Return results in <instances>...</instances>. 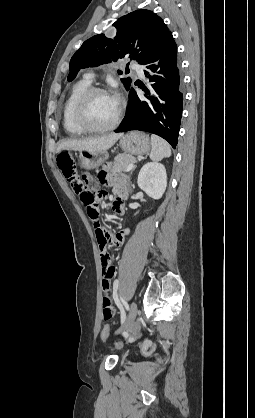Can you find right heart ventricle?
Wrapping results in <instances>:
<instances>
[{
  "label": "right heart ventricle",
  "mask_w": 255,
  "mask_h": 418,
  "mask_svg": "<svg viewBox=\"0 0 255 418\" xmlns=\"http://www.w3.org/2000/svg\"><path fill=\"white\" fill-rule=\"evenodd\" d=\"M90 86H91V81L89 79H82L76 82L72 86L64 102L63 110H62V122H63V127L65 131L69 135L79 136L85 133V131L81 129L74 121V110H75V105L79 97Z\"/></svg>",
  "instance_id": "e07e8e85"
}]
</instances>
